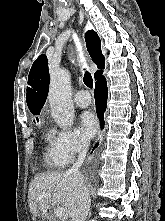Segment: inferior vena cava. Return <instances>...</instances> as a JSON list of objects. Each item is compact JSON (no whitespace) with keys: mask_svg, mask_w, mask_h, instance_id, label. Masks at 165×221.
<instances>
[{"mask_svg":"<svg viewBox=\"0 0 165 221\" xmlns=\"http://www.w3.org/2000/svg\"><path fill=\"white\" fill-rule=\"evenodd\" d=\"M87 148V143L82 140L78 147V159L67 172L71 176L74 186L71 201V221H85L90 208L89 190L86 187L83 176L79 172V168L85 159Z\"/></svg>","mask_w":165,"mask_h":221,"instance_id":"obj_1","label":"inferior vena cava"}]
</instances>
